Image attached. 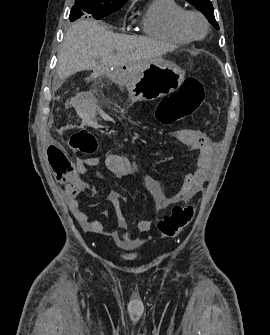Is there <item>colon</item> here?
<instances>
[{
	"instance_id": "1",
	"label": "colon",
	"mask_w": 270,
	"mask_h": 335,
	"mask_svg": "<svg viewBox=\"0 0 270 335\" xmlns=\"http://www.w3.org/2000/svg\"><path fill=\"white\" fill-rule=\"evenodd\" d=\"M202 101V84L196 78H188L181 87L163 97L157 106L155 115L163 126H169L182 121L190 115ZM70 147L79 153L92 156L98 150L95 135L86 130L73 133L69 140ZM191 203L177 204L172 211L158 222V229L165 237H172L185 228L193 218Z\"/></svg>"
}]
</instances>
